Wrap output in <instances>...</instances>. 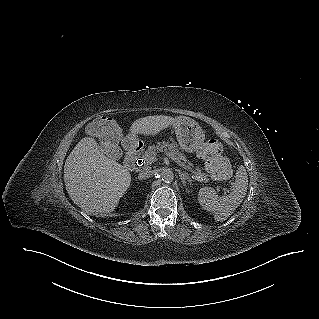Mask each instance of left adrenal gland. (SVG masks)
Listing matches in <instances>:
<instances>
[{"label":"left adrenal gland","instance_id":"left-adrenal-gland-1","mask_svg":"<svg viewBox=\"0 0 319 319\" xmlns=\"http://www.w3.org/2000/svg\"><path fill=\"white\" fill-rule=\"evenodd\" d=\"M179 176L184 186H186V180L191 184V179L186 173L179 170Z\"/></svg>","mask_w":319,"mask_h":319}]
</instances>
